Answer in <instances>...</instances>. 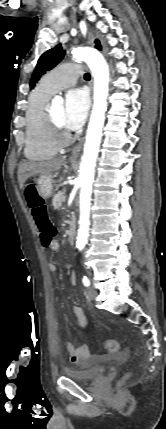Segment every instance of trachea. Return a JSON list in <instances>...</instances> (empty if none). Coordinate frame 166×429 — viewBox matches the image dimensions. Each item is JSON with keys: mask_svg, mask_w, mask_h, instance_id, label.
Returning a JSON list of instances; mask_svg holds the SVG:
<instances>
[{"mask_svg": "<svg viewBox=\"0 0 166 429\" xmlns=\"http://www.w3.org/2000/svg\"><path fill=\"white\" fill-rule=\"evenodd\" d=\"M84 78H85V79H90V74H89V73H86V74L84 75Z\"/></svg>", "mask_w": 166, "mask_h": 429, "instance_id": "1", "label": "trachea"}]
</instances>
